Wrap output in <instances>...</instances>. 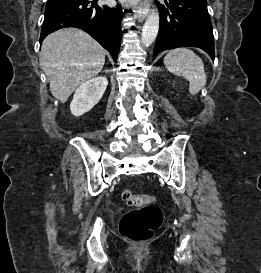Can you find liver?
Instances as JSON below:
<instances>
[{
	"label": "liver",
	"mask_w": 261,
	"mask_h": 273,
	"mask_svg": "<svg viewBox=\"0 0 261 273\" xmlns=\"http://www.w3.org/2000/svg\"><path fill=\"white\" fill-rule=\"evenodd\" d=\"M105 55V49L82 30L67 28L48 35L40 65L50 79L52 95L65 103L78 86L101 71Z\"/></svg>",
	"instance_id": "liver-1"
}]
</instances>
